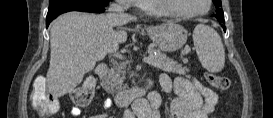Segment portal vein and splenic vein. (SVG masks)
Wrapping results in <instances>:
<instances>
[{"instance_id": "portal-vein-and-splenic-vein-1", "label": "portal vein and splenic vein", "mask_w": 273, "mask_h": 118, "mask_svg": "<svg viewBox=\"0 0 273 118\" xmlns=\"http://www.w3.org/2000/svg\"><path fill=\"white\" fill-rule=\"evenodd\" d=\"M115 56H117V57H121L119 54H115ZM144 61H145V62H147V63H149V64H151V61H152L151 56H150V57H148V58H144Z\"/></svg>"}]
</instances>
